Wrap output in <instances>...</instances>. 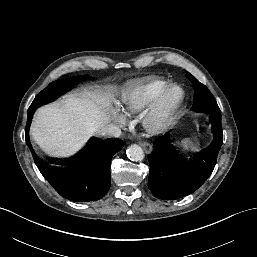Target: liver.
I'll list each match as a JSON object with an SVG mask.
<instances>
[{
    "label": "liver",
    "mask_w": 257,
    "mask_h": 257,
    "mask_svg": "<svg viewBox=\"0 0 257 257\" xmlns=\"http://www.w3.org/2000/svg\"><path fill=\"white\" fill-rule=\"evenodd\" d=\"M109 95L84 89L61 102L40 108L31 127L35 143L48 155L67 157L75 153L99 126L107 121Z\"/></svg>",
    "instance_id": "1"
}]
</instances>
